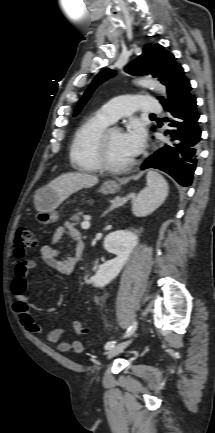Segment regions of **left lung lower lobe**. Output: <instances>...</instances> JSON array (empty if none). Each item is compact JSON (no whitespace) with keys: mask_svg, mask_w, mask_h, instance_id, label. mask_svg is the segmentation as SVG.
<instances>
[{"mask_svg":"<svg viewBox=\"0 0 215 433\" xmlns=\"http://www.w3.org/2000/svg\"><path fill=\"white\" fill-rule=\"evenodd\" d=\"M162 105L173 116L169 120L170 128L165 131L167 141L160 143L159 149L146 159L141 169L162 170L187 187L192 183L198 160L201 130L196 97L191 94V85L185 77L174 85Z\"/></svg>","mask_w":215,"mask_h":433,"instance_id":"0a47b994","label":"left lung lower lobe"}]
</instances>
